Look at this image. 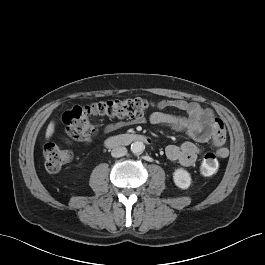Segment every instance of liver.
<instances>
[{"instance_id":"1","label":"liver","mask_w":265,"mask_h":265,"mask_svg":"<svg viewBox=\"0 0 265 265\" xmlns=\"http://www.w3.org/2000/svg\"><path fill=\"white\" fill-rule=\"evenodd\" d=\"M54 129H55V124L53 121H51L46 130V135H45L46 139H49L53 135Z\"/></svg>"}]
</instances>
